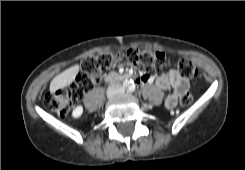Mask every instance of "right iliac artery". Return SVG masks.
Here are the masks:
<instances>
[{"label":"right iliac artery","instance_id":"right-iliac-artery-1","mask_svg":"<svg viewBox=\"0 0 245 170\" xmlns=\"http://www.w3.org/2000/svg\"><path fill=\"white\" fill-rule=\"evenodd\" d=\"M129 85V82L126 80L124 83H123V86L124 87H127Z\"/></svg>","mask_w":245,"mask_h":170}]
</instances>
